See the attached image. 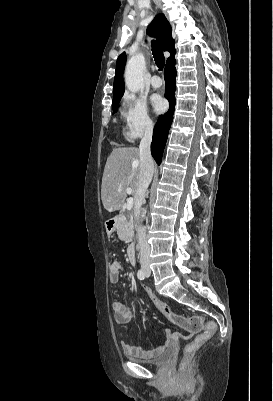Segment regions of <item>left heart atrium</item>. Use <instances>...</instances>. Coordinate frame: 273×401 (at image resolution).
<instances>
[{"label": "left heart atrium", "mask_w": 273, "mask_h": 401, "mask_svg": "<svg viewBox=\"0 0 273 401\" xmlns=\"http://www.w3.org/2000/svg\"><path fill=\"white\" fill-rule=\"evenodd\" d=\"M151 103H152L154 110L158 113L164 112L168 106L166 101L159 96L152 97Z\"/></svg>", "instance_id": "39dd6f15"}]
</instances>
